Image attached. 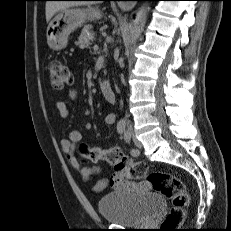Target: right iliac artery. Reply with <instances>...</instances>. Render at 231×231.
I'll return each mask as SVG.
<instances>
[{
  "label": "right iliac artery",
  "instance_id": "1",
  "mask_svg": "<svg viewBox=\"0 0 231 231\" xmlns=\"http://www.w3.org/2000/svg\"><path fill=\"white\" fill-rule=\"evenodd\" d=\"M125 127H126V123L124 120H120L117 124V131L119 134H123V132H125Z\"/></svg>",
  "mask_w": 231,
  "mask_h": 231
}]
</instances>
